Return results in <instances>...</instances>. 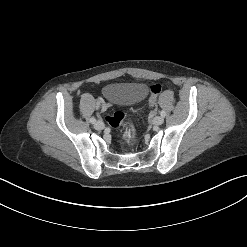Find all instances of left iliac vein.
I'll list each match as a JSON object with an SVG mask.
<instances>
[{
	"label": "left iliac vein",
	"mask_w": 247,
	"mask_h": 247,
	"mask_svg": "<svg viewBox=\"0 0 247 247\" xmlns=\"http://www.w3.org/2000/svg\"><path fill=\"white\" fill-rule=\"evenodd\" d=\"M164 122V118L162 116H156L153 119V124L154 125H161Z\"/></svg>",
	"instance_id": "obj_1"
}]
</instances>
